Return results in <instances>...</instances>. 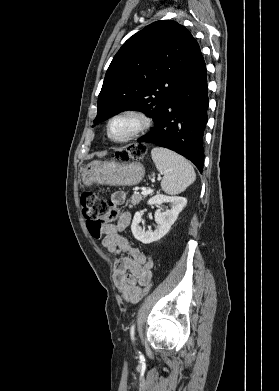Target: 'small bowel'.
<instances>
[{
	"mask_svg": "<svg viewBox=\"0 0 279 391\" xmlns=\"http://www.w3.org/2000/svg\"><path fill=\"white\" fill-rule=\"evenodd\" d=\"M126 200L123 191H116L111 196L114 205H121ZM131 214L124 212L117 223H103L101 234L104 235L102 245L105 250L115 255L128 256L117 259L114 263V281L124 300L137 303L142 297L143 287L151 282L153 259L137 248H132L121 233L130 224Z\"/></svg>",
	"mask_w": 279,
	"mask_h": 391,
	"instance_id": "1",
	"label": "small bowel"
}]
</instances>
